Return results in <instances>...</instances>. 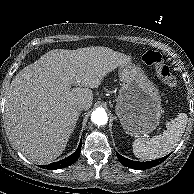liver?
I'll list each match as a JSON object with an SVG mask.
<instances>
[{"mask_svg":"<svg viewBox=\"0 0 194 194\" xmlns=\"http://www.w3.org/2000/svg\"><path fill=\"white\" fill-rule=\"evenodd\" d=\"M130 58L107 47L54 49L26 66L6 93L4 121L12 144L29 160L49 164L64 151L76 127L77 104L88 110L91 88ZM76 86V87H72Z\"/></svg>","mask_w":194,"mask_h":194,"instance_id":"liver-1","label":"liver"}]
</instances>
